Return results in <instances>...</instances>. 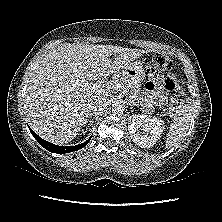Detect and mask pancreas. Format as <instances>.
Masks as SVG:
<instances>
[{"label": "pancreas", "instance_id": "1", "mask_svg": "<svg viewBox=\"0 0 222 222\" xmlns=\"http://www.w3.org/2000/svg\"><path fill=\"white\" fill-rule=\"evenodd\" d=\"M111 85H119L121 88L130 90L131 94L130 98L132 100H135L138 97V85L134 84L133 82L129 81V80H125L123 77L121 78H115L113 80V82L111 83Z\"/></svg>", "mask_w": 222, "mask_h": 222}]
</instances>
